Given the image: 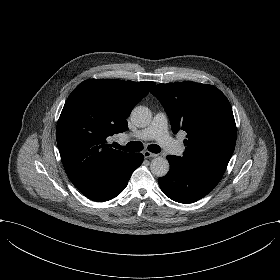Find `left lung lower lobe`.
Here are the masks:
<instances>
[{
	"mask_svg": "<svg viewBox=\"0 0 280 280\" xmlns=\"http://www.w3.org/2000/svg\"><path fill=\"white\" fill-rule=\"evenodd\" d=\"M169 172L158 179L163 193L184 204L198 201L218 184L225 170L202 163L187 162L180 156L168 155Z\"/></svg>",
	"mask_w": 280,
	"mask_h": 280,
	"instance_id": "obj_1",
	"label": "left lung lower lobe"
}]
</instances>
